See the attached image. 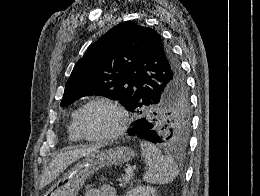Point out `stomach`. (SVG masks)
Returning a JSON list of instances; mask_svg holds the SVG:
<instances>
[{"mask_svg": "<svg viewBox=\"0 0 260 196\" xmlns=\"http://www.w3.org/2000/svg\"><path fill=\"white\" fill-rule=\"evenodd\" d=\"M134 156V150L125 148V146H117V148H109V150L88 154L84 160H81L74 168L69 170L68 180H58V185L68 186L49 187L46 196H78V192L85 186L86 180L93 176L97 170L108 168V166L125 164V162L132 160Z\"/></svg>", "mask_w": 260, "mask_h": 196, "instance_id": "obj_1", "label": "stomach"}]
</instances>
